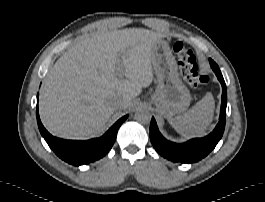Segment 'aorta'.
Masks as SVG:
<instances>
[{"label": "aorta", "mask_w": 265, "mask_h": 202, "mask_svg": "<svg viewBox=\"0 0 265 202\" xmlns=\"http://www.w3.org/2000/svg\"><path fill=\"white\" fill-rule=\"evenodd\" d=\"M134 117L136 121L147 124L151 121V113L145 106H140L136 109Z\"/></svg>", "instance_id": "aorta-1"}]
</instances>
